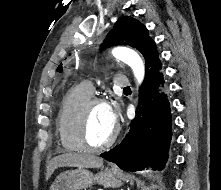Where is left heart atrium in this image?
Segmentation results:
<instances>
[{"label": "left heart atrium", "instance_id": "1", "mask_svg": "<svg viewBox=\"0 0 221 190\" xmlns=\"http://www.w3.org/2000/svg\"><path fill=\"white\" fill-rule=\"evenodd\" d=\"M108 117H109V121L110 123L115 126L117 121H118V114H117V110L108 105Z\"/></svg>", "mask_w": 221, "mask_h": 190}]
</instances>
